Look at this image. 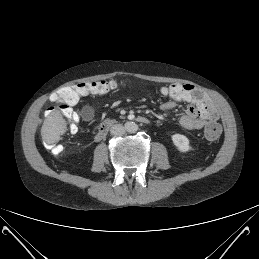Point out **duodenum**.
<instances>
[{"instance_id": "410a0bca", "label": "duodenum", "mask_w": 259, "mask_h": 259, "mask_svg": "<svg viewBox=\"0 0 259 259\" xmlns=\"http://www.w3.org/2000/svg\"><path fill=\"white\" fill-rule=\"evenodd\" d=\"M136 121L142 124H148L149 119L145 116H138ZM115 124V120H106L98 128L95 135L96 140H101L108 132V130Z\"/></svg>"}]
</instances>
